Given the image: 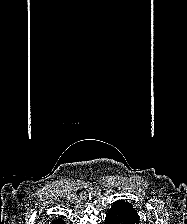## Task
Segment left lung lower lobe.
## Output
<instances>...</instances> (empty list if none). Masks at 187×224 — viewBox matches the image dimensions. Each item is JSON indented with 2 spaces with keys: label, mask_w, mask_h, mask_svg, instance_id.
Segmentation results:
<instances>
[{
  "label": "left lung lower lobe",
  "mask_w": 187,
  "mask_h": 224,
  "mask_svg": "<svg viewBox=\"0 0 187 224\" xmlns=\"http://www.w3.org/2000/svg\"><path fill=\"white\" fill-rule=\"evenodd\" d=\"M139 220L137 211L130 203L118 200L106 214L105 224H139Z\"/></svg>",
  "instance_id": "0a47b994"
}]
</instances>
